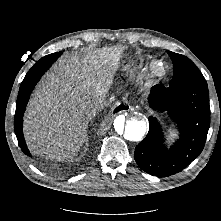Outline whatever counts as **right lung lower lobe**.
<instances>
[{"label": "right lung lower lobe", "mask_w": 221, "mask_h": 221, "mask_svg": "<svg viewBox=\"0 0 221 221\" xmlns=\"http://www.w3.org/2000/svg\"><path fill=\"white\" fill-rule=\"evenodd\" d=\"M61 54V52L53 53L37 61L36 64L26 74L19 89L16 103L14 130L21 150L28 156H30L31 154L26 146L22 131L24 111L30 94L34 89L36 83Z\"/></svg>", "instance_id": "obj_1"}]
</instances>
